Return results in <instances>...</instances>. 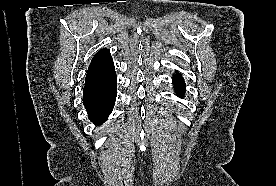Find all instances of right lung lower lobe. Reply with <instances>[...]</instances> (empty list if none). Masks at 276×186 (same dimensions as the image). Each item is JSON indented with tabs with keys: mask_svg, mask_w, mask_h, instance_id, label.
<instances>
[{
	"mask_svg": "<svg viewBox=\"0 0 276 186\" xmlns=\"http://www.w3.org/2000/svg\"><path fill=\"white\" fill-rule=\"evenodd\" d=\"M117 95V77L84 86L83 104L89 119L101 124L110 115Z\"/></svg>",
	"mask_w": 276,
	"mask_h": 186,
	"instance_id": "98d812e1",
	"label": "right lung lower lobe"
}]
</instances>
